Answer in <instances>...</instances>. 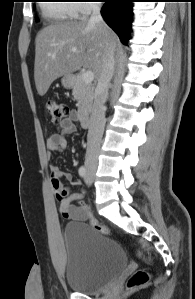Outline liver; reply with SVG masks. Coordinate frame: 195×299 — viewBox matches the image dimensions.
<instances>
[{"instance_id": "liver-1", "label": "liver", "mask_w": 195, "mask_h": 299, "mask_svg": "<svg viewBox=\"0 0 195 299\" xmlns=\"http://www.w3.org/2000/svg\"><path fill=\"white\" fill-rule=\"evenodd\" d=\"M116 41V35L106 25H89L85 19L43 28L35 40L34 79L38 94L45 95L53 81L81 67L92 69L100 77L107 48L116 45Z\"/></svg>"}]
</instances>
